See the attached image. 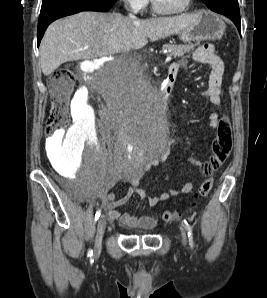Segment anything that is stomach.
Wrapping results in <instances>:
<instances>
[{"instance_id": "stomach-1", "label": "stomach", "mask_w": 267, "mask_h": 298, "mask_svg": "<svg viewBox=\"0 0 267 298\" xmlns=\"http://www.w3.org/2000/svg\"><path fill=\"white\" fill-rule=\"evenodd\" d=\"M197 16L193 26L177 33L182 41L216 40L223 36L226 29L223 16L210 11H200Z\"/></svg>"}]
</instances>
